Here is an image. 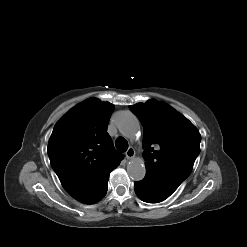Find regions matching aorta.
I'll return each instance as SVG.
<instances>
[{"instance_id": "aorta-1", "label": "aorta", "mask_w": 247, "mask_h": 247, "mask_svg": "<svg viewBox=\"0 0 247 247\" xmlns=\"http://www.w3.org/2000/svg\"><path fill=\"white\" fill-rule=\"evenodd\" d=\"M116 125L119 131L127 138L134 139L139 131L137 117L130 111H123L116 116ZM128 175L135 181L145 177L146 169L141 158H134L127 165Z\"/></svg>"}]
</instances>
